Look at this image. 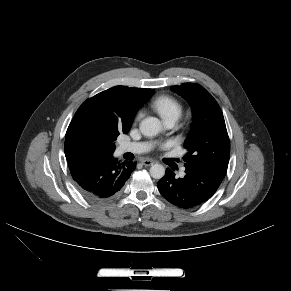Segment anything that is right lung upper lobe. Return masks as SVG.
Masks as SVG:
<instances>
[{"label":"right lung upper lobe","instance_id":"right-lung-upper-lobe-1","mask_svg":"<svg viewBox=\"0 0 291 291\" xmlns=\"http://www.w3.org/2000/svg\"><path fill=\"white\" fill-rule=\"evenodd\" d=\"M153 93V89L115 86L87 99L75 113L66 132L64 149L67 162L90 154L75 133L81 123L93 121L126 134L137 111Z\"/></svg>","mask_w":291,"mask_h":291}]
</instances>
